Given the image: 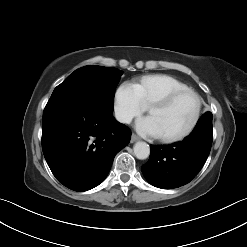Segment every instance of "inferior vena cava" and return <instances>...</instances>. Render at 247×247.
Wrapping results in <instances>:
<instances>
[{"mask_svg":"<svg viewBox=\"0 0 247 247\" xmlns=\"http://www.w3.org/2000/svg\"><path fill=\"white\" fill-rule=\"evenodd\" d=\"M116 119L121 123H130L132 121V117L124 112L115 111Z\"/></svg>","mask_w":247,"mask_h":247,"instance_id":"602c4592","label":"inferior vena cava"}]
</instances>
